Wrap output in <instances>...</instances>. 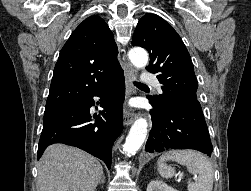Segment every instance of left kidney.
<instances>
[{
    "label": "left kidney",
    "mask_w": 251,
    "mask_h": 191,
    "mask_svg": "<svg viewBox=\"0 0 251 191\" xmlns=\"http://www.w3.org/2000/svg\"><path fill=\"white\" fill-rule=\"evenodd\" d=\"M147 191H178V189H174V187H170L164 181H150L147 185Z\"/></svg>",
    "instance_id": "5707ae66"
}]
</instances>
